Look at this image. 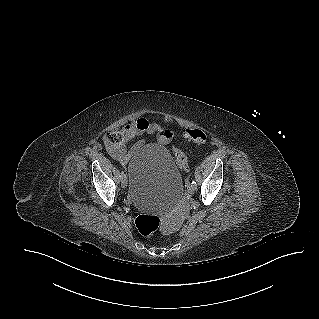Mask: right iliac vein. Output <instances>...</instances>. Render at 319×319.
I'll use <instances>...</instances> for the list:
<instances>
[{
	"instance_id": "right-iliac-vein-1",
	"label": "right iliac vein",
	"mask_w": 319,
	"mask_h": 319,
	"mask_svg": "<svg viewBox=\"0 0 319 319\" xmlns=\"http://www.w3.org/2000/svg\"><path fill=\"white\" fill-rule=\"evenodd\" d=\"M121 185H122V187H123L124 189L127 188L128 181H127V179H126V176H124V177L122 178V180H121Z\"/></svg>"
}]
</instances>
